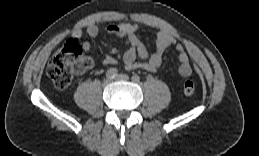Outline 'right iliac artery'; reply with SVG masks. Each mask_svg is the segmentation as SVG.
<instances>
[{
	"mask_svg": "<svg viewBox=\"0 0 259 156\" xmlns=\"http://www.w3.org/2000/svg\"><path fill=\"white\" fill-rule=\"evenodd\" d=\"M117 74H118V70L116 68H110L106 72V77L113 79L117 76Z\"/></svg>",
	"mask_w": 259,
	"mask_h": 156,
	"instance_id": "82829eb1",
	"label": "right iliac artery"
}]
</instances>
